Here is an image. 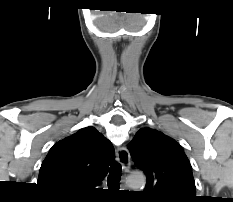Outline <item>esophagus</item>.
<instances>
[{
  "label": "esophagus",
  "instance_id": "esophagus-1",
  "mask_svg": "<svg viewBox=\"0 0 233 202\" xmlns=\"http://www.w3.org/2000/svg\"><path fill=\"white\" fill-rule=\"evenodd\" d=\"M117 160L122 165L124 171H128L131 165L130 154L126 147H119L117 150Z\"/></svg>",
  "mask_w": 233,
  "mask_h": 202
}]
</instances>
